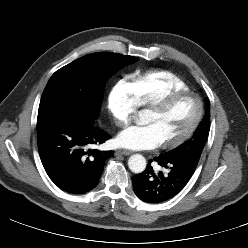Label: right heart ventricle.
Listing matches in <instances>:
<instances>
[{
    "mask_svg": "<svg viewBox=\"0 0 248 248\" xmlns=\"http://www.w3.org/2000/svg\"><path fill=\"white\" fill-rule=\"evenodd\" d=\"M138 106H149L167 93L189 91V86L177 75L169 71H154L134 74L126 82Z\"/></svg>",
    "mask_w": 248,
    "mask_h": 248,
    "instance_id": "right-heart-ventricle-1",
    "label": "right heart ventricle"
}]
</instances>
